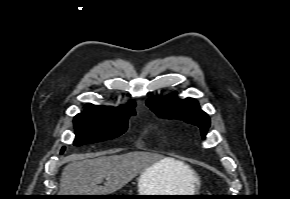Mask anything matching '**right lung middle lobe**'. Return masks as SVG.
Returning <instances> with one entry per match:
<instances>
[{
    "mask_svg": "<svg viewBox=\"0 0 290 199\" xmlns=\"http://www.w3.org/2000/svg\"><path fill=\"white\" fill-rule=\"evenodd\" d=\"M134 115V114H133ZM131 114L115 116L78 114L74 117L76 138L74 145L90 144L114 139L127 130ZM65 147L62 148L63 153Z\"/></svg>",
    "mask_w": 290,
    "mask_h": 199,
    "instance_id": "dd1d6c3e",
    "label": "right lung middle lobe"
}]
</instances>
